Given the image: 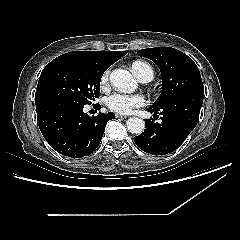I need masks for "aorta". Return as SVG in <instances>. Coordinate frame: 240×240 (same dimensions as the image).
Returning a JSON list of instances; mask_svg holds the SVG:
<instances>
[{
  "label": "aorta",
  "mask_w": 240,
  "mask_h": 240,
  "mask_svg": "<svg viewBox=\"0 0 240 240\" xmlns=\"http://www.w3.org/2000/svg\"><path fill=\"white\" fill-rule=\"evenodd\" d=\"M112 86L121 91H132L136 88L137 83L130 72L124 69H115L110 74ZM126 127L132 134H141L145 129V122L138 117H131L126 121Z\"/></svg>",
  "instance_id": "aorta-1"
}]
</instances>
